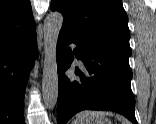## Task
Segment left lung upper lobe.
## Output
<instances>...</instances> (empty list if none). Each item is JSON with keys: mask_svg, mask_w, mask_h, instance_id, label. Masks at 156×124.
<instances>
[{"mask_svg": "<svg viewBox=\"0 0 156 124\" xmlns=\"http://www.w3.org/2000/svg\"><path fill=\"white\" fill-rule=\"evenodd\" d=\"M51 10L62 13V29L78 40L130 57L128 17L121 0H52Z\"/></svg>", "mask_w": 156, "mask_h": 124, "instance_id": "left-lung-upper-lobe-1", "label": "left lung upper lobe"}]
</instances>
